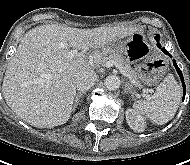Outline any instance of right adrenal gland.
<instances>
[{
  "instance_id": "right-adrenal-gland-1",
  "label": "right adrenal gland",
  "mask_w": 190,
  "mask_h": 165,
  "mask_svg": "<svg viewBox=\"0 0 190 165\" xmlns=\"http://www.w3.org/2000/svg\"><path fill=\"white\" fill-rule=\"evenodd\" d=\"M85 94V92H79L75 95V100H74V106H73V111L77 107L78 103L80 102L82 96Z\"/></svg>"
}]
</instances>
